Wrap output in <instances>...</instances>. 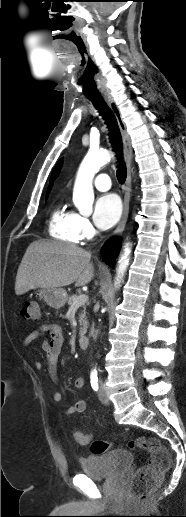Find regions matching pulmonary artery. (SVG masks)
<instances>
[{"label": "pulmonary artery", "mask_w": 186, "mask_h": 517, "mask_svg": "<svg viewBox=\"0 0 186 517\" xmlns=\"http://www.w3.org/2000/svg\"><path fill=\"white\" fill-rule=\"evenodd\" d=\"M94 186L99 191H107L111 187L110 178L107 174H99L94 179Z\"/></svg>", "instance_id": "pulmonary-artery-1"}]
</instances>
